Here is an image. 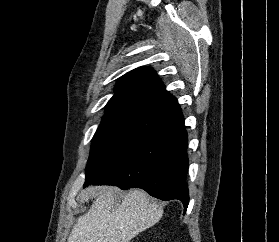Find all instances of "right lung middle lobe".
<instances>
[{"instance_id":"1","label":"right lung middle lobe","mask_w":279,"mask_h":242,"mask_svg":"<svg viewBox=\"0 0 279 242\" xmlns=\"http://www.w3.org/2000/svg\"><path fill=\"white\" fill-rule=\"evenodd\" d=\"M161 124V117L146 113L106 114L91 145L85 179L102 176L147 141Z\"/></svg>"}]
</instances>
